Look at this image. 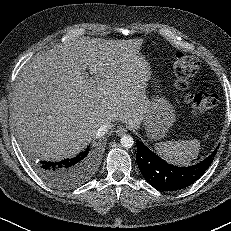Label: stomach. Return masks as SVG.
<instances>
[{
	"mask_svg": "<svg viewBox=\"0 0 231 231\" xmlns=\"http://www.w3.org/2000/svg\"><path fill=\"white\" fill-rule=\"evenodd\" d=\"M155 83V87H159L157 81ZM175 118L172 104L159 94L154 95L142 120L148 138L151 140L164 138L175 122Z\"/></svg>",
	"mask_w": 231,
	"mask_h": 231,
	"instance_id": "1",
	"label": "stomach"
}]
</instances>
